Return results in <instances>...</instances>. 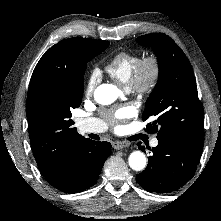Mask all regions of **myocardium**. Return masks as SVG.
Here are the masks:
<instances>
[{"mask_svg":"<svg viewBox=\"0 0 221 221\" xmlns=\"http://www.w3.org/2000/svg\"><path fill=\"white\" fill-rule=\"evenodd\" d=\"M162 74L160 59L149 55L139 62L128 88L138 97H147L157 88Z\"/></svg>","mask_w":221,"mask_h":221,"instance_id":"myocardium-1","label":"myocardium"}]
</instances>
